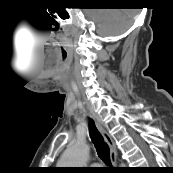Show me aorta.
Listing matches in <instances>:
<instances>
[{
  "mask_svg": "<svg viewBox=\"0 0 173 173\" xmlns=\"http://www.w3.org/2000/svg\"><path fill=\"white\" fill-rule=\"evenodd\" d=\"M89 156V147L83 140L76 141L63 154L60 164L64 167H82Z\"/></svg>",
  "mask_w": 173,
  "mask_h": 173,
  "instance_id": "obj_1",
  "label": "aorta"
}]
</instances>
